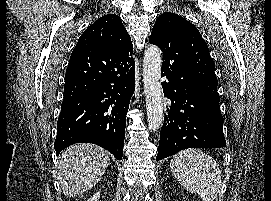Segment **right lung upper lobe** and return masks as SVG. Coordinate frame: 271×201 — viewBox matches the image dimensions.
Instances as JSON below:
<instances>
[{"label": "right lung upper lobe", "mask_w": 271, "mask_h": 201, "mask_svg": "<svg viewBox=\"0 0 271 201\" xmlns=\"http://www.w3.org/2000/svg\"><path fill=\"white\" fill-rule=\"evenodd\" d=\"M97 48L132 60L131 38L119 16L108 14L99 18L80 36L75 48Z\"/></svg>", "instance_id": "1"}]
</instances>
